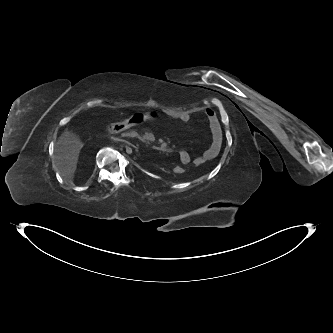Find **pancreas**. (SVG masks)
<instances>
[{"mask_svg": "<svg viewBox=\"0 0 333 333\" xmlns=\"http://www.w3.org/2000/svg\"><path fill=\"white\" fill-rule=\"evenodd\" d=\"M126 135L131 136V137H137L139 140L146 142V135H139L137 132L135 131H130L128 133H126Z\"/></svg>", "mask_w": 333, "mask_h": 333, "instance_id": "1", "label": "pancreas"}]
</instances>
